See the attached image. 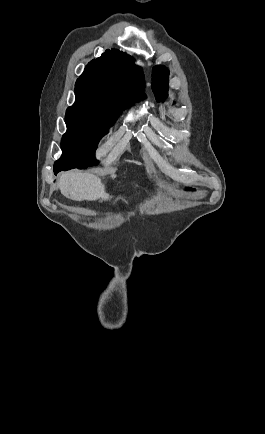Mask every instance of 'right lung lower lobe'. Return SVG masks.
<instances>
[{"mask_svg":"<svg viewBox=\"0 0 265 434\" xmlns=\"http://www.w3.org/2000/svg\"><path fill=\"white\" fill-rule=\"evenodd\" d=\"M65 170L64 168H56L54 169V174L57 175L58 172Z\"/></svg>","mask_w":265,"mask_h":434,"instance_id":"right-lung-lower-lobe-1","label":"right lung lower lobe"}]
</instances>
